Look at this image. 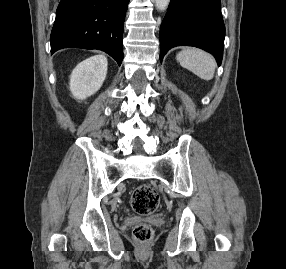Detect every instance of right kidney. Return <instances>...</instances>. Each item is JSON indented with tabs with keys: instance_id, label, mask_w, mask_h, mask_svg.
I'll return each instance as SVG.
<instances>
[{
	"instance_id": "right-kidney-1",
	"label": "right kidney",
	"mask_w": 286,
	"mask_h": 269,
	"mask_svg": "<svg viewBox=\"0 0 286 269\" xmlns=\"http://www.w3.org/2000/svg\"><path fill=\"white\" fill-rule=\"evenodd\" d=\"M107 58L92 56L79 63L70 76V91L79 100L95 94L102 86L107 74Z\"/></svg>"
}]
</instances>
